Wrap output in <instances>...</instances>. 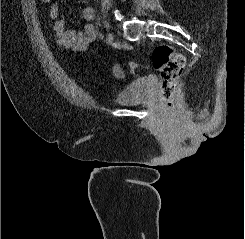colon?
Listing matches in <instances>:
<instances>
[{
  "label": "colon",
  "instance_id": "1",
  "mask_svg": "<svg viewBox=\"0 0 245 239\" xmlns=\"http://www.w3.org/2000/svg\"><path fill=\"white\" fill-rule=\"evenodd\" d=\"M40 1L43 4L53 2V0ZM152 65L160 73V96L166 104L171 105L178 81L185 67V57L170 45L161 44L152 53ZM113 72L117 78H122L124 75L119 64L114 66Z\"/></svg>",
  "mask_w": 245,
  "mask_h": 239
}]
</instances>
